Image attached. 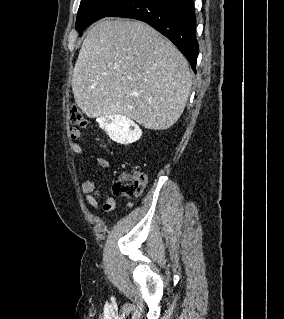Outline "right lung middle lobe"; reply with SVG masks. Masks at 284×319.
Instances as JSON below:
<instances>
[{"label": "right lung middle lobe", "instance_id": "dd1d6c3e", "mask_svg": "<svg viewBox=\"0 0 284 319\" xmlns=\"http://www.w3.org/2000/svg\"><path fill=\"white\" fill-rule=\"evenodd\" d=\"M129 1L130 0H81L76 19V30L81 35L83 30L93 22L109 16Z\"/></svg>", "mask_w": 284, "mask_h": 319}]
</instances>
